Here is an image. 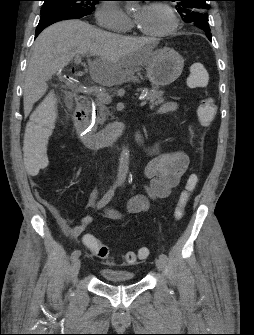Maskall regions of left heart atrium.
<instances>
[{"label":"left heart atrium","mask_w":254,"mask_h":335,"mask_svg":"<svg viewBox=\"0 0 254 335\" xmlns=\"http://www.w3.org/2000/svg\"><path fill=\"white\" fill-rule=\"evenodd\" d=\"M148 6H142L139 10L138 13L136 14V20H139L142 15L146 12Z\"/></svg>","instance_id":"1"}]
</instances>
